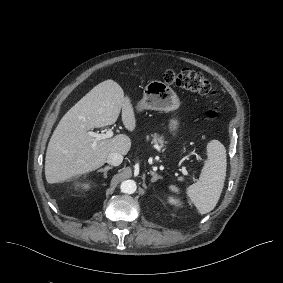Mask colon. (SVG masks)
Masks as SVG:
<instances>
[{
    "label": "colon",
    "mask_w": 283,
    "mask_h": 283,
    "mask_svg": "<svg viewBox=\"0 0 283 283\" xmlns=\"http://www.w3.org/2000/svg\"><path fill=\"white\" fill-rule=\"evenodd\" d=\"M164 81L172 86L201 94L212 96L215 90L207 77L191 69H182L179 71L168 70L163 75ZM218 117V109L213 108L206 114V124H211Z\"/></svg>",
    "instance_id": "obj_1"
}]
</instances>
